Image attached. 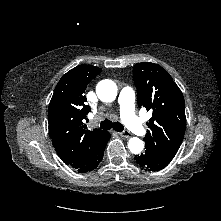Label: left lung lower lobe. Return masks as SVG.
Wrapping results in <instances>:
<instances>
[{
	"mask_svg": "<svg viewBox=\"0 0 221 221\" xmlns=\"http://www.w3.org/2000/svg\"><path fill=\"white\" fill-rule=\"evenodd\" d=\"M135 161L141 167L146 168L150 171H159L166 167L170 162L166 161L153 153L146 150L141 155L135 156Z\"/></svg>",
	"mask_w": 221,
	"mask_h": 221,
	"instance_id": "0a47b994",
	"label": "left lung lower lobe"
}]
</instances>
